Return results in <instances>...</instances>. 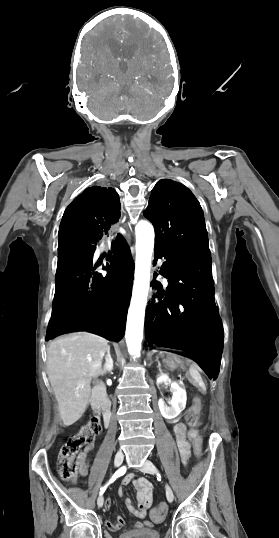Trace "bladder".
I'll return each mask as SVG.
<instances>
[{
  "label": "bladder",
  "mask_w": 279,
  "mask_h": 538,
  "mask_svg": "<svg viewBox=\"0 0 279 538\" xmlns=\"http://www.w3.org/2000/svg\"><path fill=\"white\" fill-rule=\"evenodd\" d=\"M122 538H160L159 532H124Z\"/></svg>",
  "instance_id": "obj_1"
}]
</instances>
